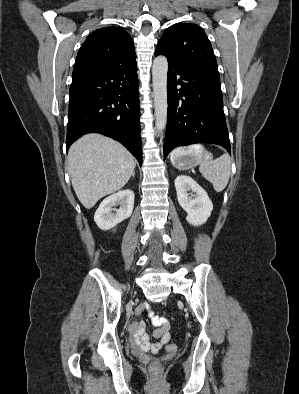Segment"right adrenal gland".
<instances>
[{
	"label": "right adrenal gland",
	"instance_id": "1",
	"mask_svg": "<svg viewBox=\"0 0 299 394\" xmlns=\"http://www.w3.org/2000/svg\"><path fill=\"white\" fill-rule=\"evenodd\" d=\"M132 177H133V178L135 177V171L132 173Z\"/></svg>",
	"mask_w": 299,
	"mask_h": 394
}]
</instances>
